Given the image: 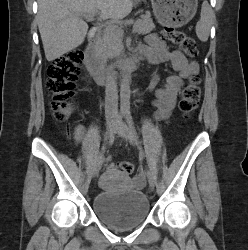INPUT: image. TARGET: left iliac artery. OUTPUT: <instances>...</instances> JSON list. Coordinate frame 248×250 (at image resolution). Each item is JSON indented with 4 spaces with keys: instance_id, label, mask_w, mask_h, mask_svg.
Masks as SVG:
<instances>
[{
    "instance_id": "left-iliac-artery-1",
    "label": "left iliac artery",
    "mask_w": 248,
    "mask_h": 250,
    "mask_svg": "<svg viewBox=\"0 0 248 250\" xmlns=\"http://www.w3.org/2000/svg\"><path fill=\"white\" fill-rule=\"evenodd\" d=\"M125 118H126V122H127L128 126H129V128H130V130H131V132H132V134H133V136H134L137 144L140 146L141 142H140V139H139V135H138V133L136 131V128H135V125H134V121H133V118H132L130 112H127L125 114ZM140 150H141V152H140L141 155H144V152H143L141 146H140Z\"/></svg>"
}]
</instances>
